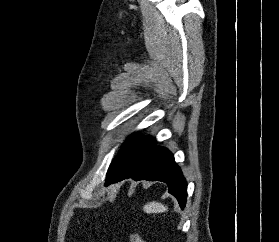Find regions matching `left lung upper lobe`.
Segmentation results:
<instances>
[{"label": "left lung upper lobe", "mask_w": 279, "mask_h": 242, "mask_svg": "<svg viewBox=\"0 0 279 242\" xmlns=\"http://www.w3.org/2000/svg\"><path fill=\"white\" fill-rule=\"evenodd\" d=\"M155 145L156 140L150 136H141L138 133L128 136L108 169L105 186L117 181L132 164L141 159Z\"/></svg>", "instance_id": "1"}]
</instances>
